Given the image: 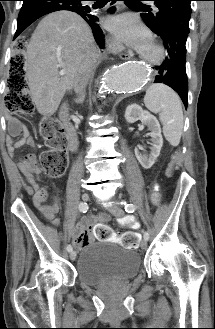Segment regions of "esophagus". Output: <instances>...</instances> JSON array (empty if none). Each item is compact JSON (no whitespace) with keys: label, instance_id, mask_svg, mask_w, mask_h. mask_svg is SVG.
I'll return each mask as SVG.
<instances>
[{"label":"esophagus","instance_id":"34e87169","mask_svg":"<svg viewBox=\"0 0 215 329\" xmlns=\"http://www.w3.org/2000/svg\"><path fill=\"white\" fill-rule=\"evenodd\" d=\"M131 54H128V53H122L120 54V58L121 59H124V60H127V59H130L131 58Z\"/></svg>","mask_w":215,"mask_h":329}]
</instances>
